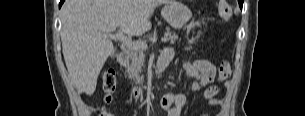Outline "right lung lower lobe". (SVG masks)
<instances>
[{
	"mask_svg": "<svg viewBox=\"0 0 305 116\" xmlns=\"http://www.w3.org/2000/svg\"><path fill=\"white\" fill-rule=\"evenodd\" d=\"M65 0H60V4H59V7H61V5L63 4Z\"/></svg>",
	"mask_w": 305,
	"mask_h": 116,
	"instance_id": "right-lung-lower-lobe-1",
	"label": "right lung lower lobe"
}]
</instances>
